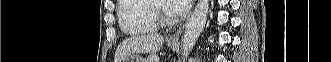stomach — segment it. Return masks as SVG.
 <instances>
[{
	"label": "stomach",
	"mask_w": 331,
	"mask_h": 62,
	"mask_svg": "<svg viewBox=\"0 0 331 62\" xmlns=\"http://www.w3.org/2000/svg\"><path fill=\"white\" fill-rule=\"evenodd\" d=\"M177 43L174 42H167V45L169 47H175ZM122 62H147L145 61V59H143L141 56L139 55H130L129 57H127L125 60H123Z\"/></svg>",
	"instance_id": "0dacf381"
}]
</instances>
